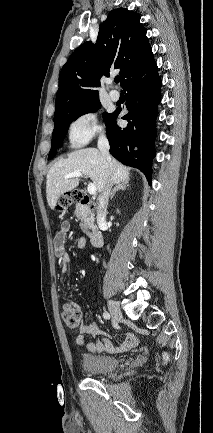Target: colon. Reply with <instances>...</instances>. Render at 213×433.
I'll return each instance as SVG.
<instances>
[{
  "mask_svg": "<svg viewBox=\"0 0 213 433\" xmlns=\"http://www.w3.org/2000/svg\"><path fill=\"white\" fill-rule=\"evenodd\" d=\"M82 201H92L88 195L80 189L74 190L71 193L63 195L58 203L59 210H66L75 203ZM62 319L70 329H77L81 325L82 312L80 308L73 303H65L62 308ZM168 361V355L164 354L162 357V363L165 364Z\"/></svg>",
  "mask_w": 213,
  "mask_h": 433,
  "instance_id": "obj_1",
  "label": "colon"
}]
</instances>
